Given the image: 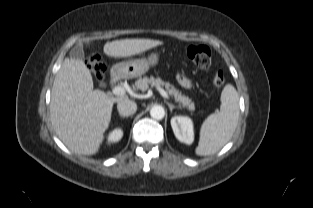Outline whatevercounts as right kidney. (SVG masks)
Segmentation results:
<instances>
[{"label":"right kidney","instance_id":"1","mask_svg":"<svg viewBox=\"0 0 313 208\" xmlns=\"http://www.w3.org/2000/svg\"><path fill=\"white\" fill-rule=\"evenodd\" d=\"M123 136V131L120 128L113 130L108 136V143L118 142Z\"/></svg>","mask_w":313,"mask_h":208}]
</instances>
